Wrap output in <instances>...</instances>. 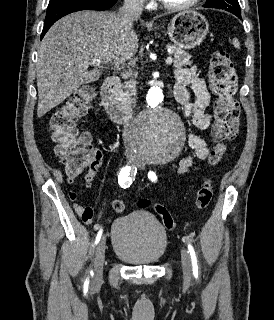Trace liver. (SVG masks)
Segmentation results:
<instances>
[{
    "mask_svg": "<svg viewBox=\"0 0 274 320\" xmlns=\"http://www.w3.org/2000/svg\"><path fill=\"white\" fill-rule=\"evenodd\" d=\"M138 20V18H137ZM135 20V22H137ZM117 12H74L58 20L38 48L37 116L64 102L83 84L99 80L103 66L88 70L92 60L120 66L138 50L135 32L126 34Z\"/></svg>",
    "mask_w": 274,
    "mask_h": 320,
    "instance_id": "obj_1",
    "label": "liver"
}]
</instances>
